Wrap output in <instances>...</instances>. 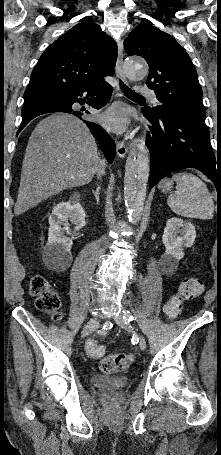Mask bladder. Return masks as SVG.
<instances>
[{
  "label": "bladder",
  "mask_w": 221,
  "mask_h": 455,
  "mask_svg": "<svg viewBox=\"0 0 221 455\" xmlns=\"http://www.w3.org/2000/svg\"><path fill=\"white\" fill-rule=\"evenodd\" d=\"M90 381L96 388L120 389L127 384L128 378L126 376H107L95 374L91 376Z\"/></svg>",
  "instance_id": "bladder-1"
}]
</instances>
